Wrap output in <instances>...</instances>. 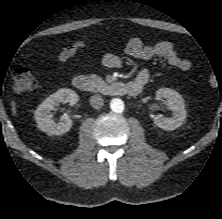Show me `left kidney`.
Returning <instances> with one entry per match:
<instances>
[{
	"label": "left kidney",
	"mask_w": 222,
	"mask_h": 219,
	"mask_svg": "<svg viewBox=\"0 0 222 219\" xmlns=\"http://www.w3.org/2000/svg\"><path fill=\"white\" fill-rule=\"evenodd\" d=\"M156 96L160 100L166 99V106L172 111V115L169 118L159 115L155 116L153 119L154 124L167 131L180 127L187 116L183 97L175 90L169 88H160L157 90Z\"/></svg>",
	"instance_id": "left-kidney-1"
}]
</instances>
